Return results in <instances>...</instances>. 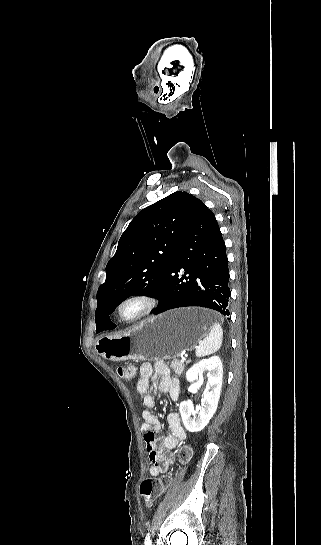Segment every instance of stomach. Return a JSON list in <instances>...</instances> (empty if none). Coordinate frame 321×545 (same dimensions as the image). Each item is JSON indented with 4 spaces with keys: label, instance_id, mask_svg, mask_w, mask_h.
<instances>
[{
    "label": "stomach",
    "instance_id": "obj_1",
    "mask_svg": "<svg viewBox=\"0 0 321 545\" xmlns=\"http://www.w3.org/2000/svg\"><path fill=\"white\" fill-rule=\"evenodd\" d=\"M214 315L201 307L172 309L145 319L123 335L99 337L96 351L111 361L176 359L205 337Z\"/></svg>",
    "mask_w": 321,
    "mask_h": 545
}]
</instances>
